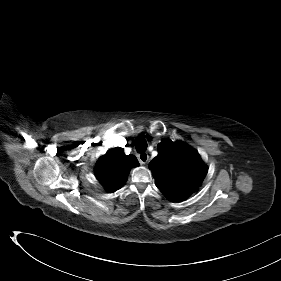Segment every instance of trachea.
Instances as JSON below:
<instances>
[{
    "label": "trachea",
    "instance_id": "3493384b",
    "mask_svg": "<svg viewBox=\"0 0 281 281\" xmlns=\"http://www.w3.org/2000/svg\"><path fill=\"white\" fill-rule=\"evenodd\" d=\"M135 148L138 153H143L147 149V142L143 137H138L135 140Z\"/></svg>",
    "mask_w": 281,
    "mask_h": 281
}]
</instances>
